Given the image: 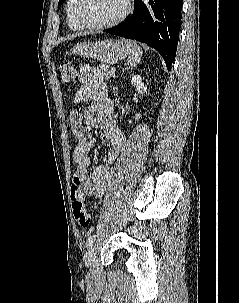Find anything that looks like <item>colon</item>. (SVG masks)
Wrapping results in <instances>:
<instances>
[{
  "instance_id": "obj_1",
  "label": "colon",
  "mask_w": 239,
  "mask_h": 303,
  "mask_svg": "<svg viewBox=\"0 0 239 303\" xmlns=\"http://www.w3.org/2000/svg\"><path fill=\"white\" fill-rule=\"evenodd\" d=\"M59 72L61 80L66 86L72 85L78 80L77 69L69 61L60 63ZM71 200L74 218L82 227H88L91 224V217L84 205L83 192L77 187H72Z\"/></svg>"
}]
</instances>
